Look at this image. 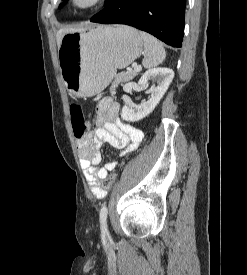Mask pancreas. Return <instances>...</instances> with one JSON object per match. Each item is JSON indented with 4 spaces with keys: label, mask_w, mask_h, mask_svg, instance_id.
<instances>
[{
    "label": "pancreas",
    "mask_w": 247,
    "mask_h": 275,
    "mask_svg": "<svg viewBox=\"0 0 247 275\" xmlns=\"http://www.w3.org/2000/svg\"><path fill=\"white\" fill-rule=\"evenodd\" d=\"M136 75L137 72L134 70L118 73L110 89L115 90L119 83H126L136 77Z\"/></svg>",
    "instance_id": "cf45deb5"
}]
</instances>
